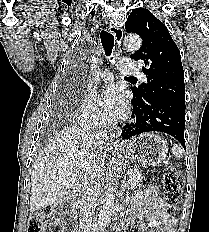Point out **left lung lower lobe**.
<instances>
[{
    "instance_id": "0a47b994",
    "label": "left lung lower lobe",
    "mask_w": 209,
    "mask_h": 232,
    "mask_svg": "<svg viewBox=\"0 0 209 232\" xmlns=\"http://www.w3.org/2000/svg\"><path fill=\"white\" fill-rule=\"evenodd\" d=\"M134 124L122 130V138L129 139L145 132H163L177 139L185 149V99L155 98L145 104H133Z\"/></svg>"
}]
</instances>
